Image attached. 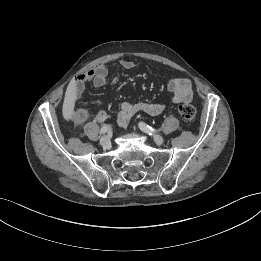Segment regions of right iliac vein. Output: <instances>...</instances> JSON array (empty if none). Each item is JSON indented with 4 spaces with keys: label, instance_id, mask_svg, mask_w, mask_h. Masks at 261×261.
Listing matches in <instances>:
<instances>
[{
    "label": "right iliac vein",
    "instance_id": "right-iliac-vein-1",
    "mask_svg": "<svg viewBox=\"0 0 261 261\" xmlns=\"http://www.w3.org/2000/svg\"><path fill=\"white\" fill-rule=\"evenodd\" d=\"M100 145L104 148H108L110 146V139L108 136H103L100 139Z\"/></svg>",
    "mask_w": 261,
    "mask_h": 261
}]
</instances>
